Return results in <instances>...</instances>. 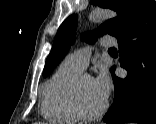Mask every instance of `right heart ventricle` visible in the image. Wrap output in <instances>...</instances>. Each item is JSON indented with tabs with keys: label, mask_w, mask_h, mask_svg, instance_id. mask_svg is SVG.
<instances>
[{
	"label": "right heart ventricle",
	"mask_w": 156,
	"mask_h": 124,
	"mask_svg": "<svg viewBox=\"0 0 156 124\" xmlns=\"http://www.w3.org/2000/svg\"><path fill=\"white\" fill-rule=\"evenodd\" d=\"M81 71L63 62L46 82L41 101V113L50 123L74 124L79 121L68 103V93Z\"/></svg>",
	"instance_id": "obj_1"
}]
</instances>
